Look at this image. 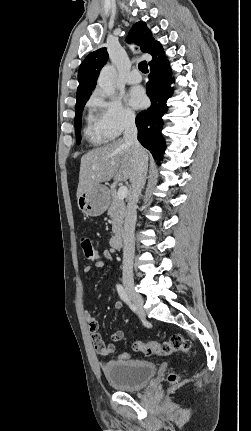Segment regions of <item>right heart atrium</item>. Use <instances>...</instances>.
I'll list each match as a JSON object with an SVG mask.
<instances>
[{"mask_svg": "<svg viewBox=\"0 0 251 431\" xmlns=\"http://www.w3.org/2000/svg\"><path fill=\"white\" fill-rule=\"evenodd\" d=\"M88 106L92 111V124L104 139L118 137L135 123V113L118 97L108 98L100 92H95Z\"/></svg>", "mask_w": 251, "mask_h": 431, "instance_id": "1", "label": "right heart atrium"}]
</instances>
